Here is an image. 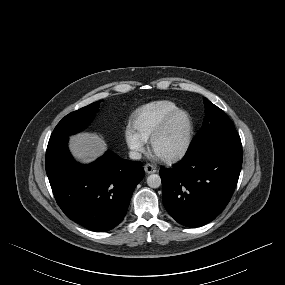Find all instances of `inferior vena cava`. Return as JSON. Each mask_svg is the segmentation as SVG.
Returning a JSON list of instances; mask_svg holds the SVG:
<instances>
[{"label": "inferior vena cava", "mask_w": 285, "mask_h": 285, "mask_svg": "<svg viewBox=\"0 0 285 285\" xmlns=\"http://www.w3.org/2000/svg\"><path fill=\"white\" fill-rule=\"evenodd\" d=\"M129 157L133 160H139V159H141L142 155H141V153H139L137 151H130Z\"/></svg>", "instance_id": "1"}]
</instances>
